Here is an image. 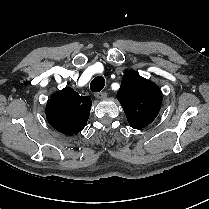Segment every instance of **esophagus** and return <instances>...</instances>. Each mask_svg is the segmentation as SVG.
I'll return each instance as SVG.
<instances>
[{
  "instance_id": "esophagus-1",
  "label": "esophagus",
  "mask_w": 209,
  "mask_h": 209,
  "mask_svg": "<svg viewBox=\"0 0 209 209\" xmlns=\"http://www.w3.org/2000/svg\"><path fill=\"white\" fill-rule=\"evenodd\" d=\"M107 96V93L106 92H98L95 94V97L98 98V99H103Z\"/></svg>"
}]
</instances>
